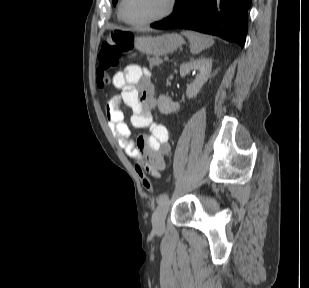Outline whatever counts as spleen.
Returning <instances> with one entry per match:
<instances>
[{
  "label": "spleen",
  "mask_w": 309,
  "mask_h": 288,
  "mask_svg": "<svg viewBox=\"0 0 309 288\" xmlns=\"http://www.w3.org/2000/svg\"><path fill=\"white\" fill-rule=\"evenodd\" d=\"M182 34L188 38L190 42V52L193 55L200 53L214 44L213 38L208 35L189 30L182 31Z\"/></svg>",
  "instance_id": "3e777b00"
}]
</instances>
